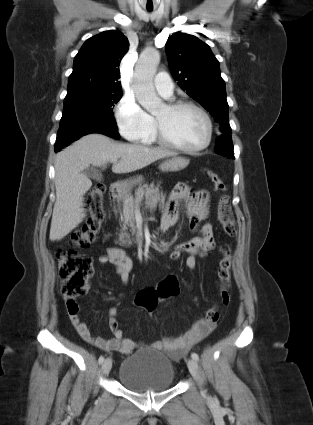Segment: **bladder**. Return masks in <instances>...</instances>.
Here are the masks:
<instances>
[{
    "label": "bladder",
    "mask_w": 313,
    "mask_h": 425,
    "mask_svg": "<svg viewBox=\"0 0 313 425\" xmlns=\"http://www.w3.org/2000/svg\"><path fill=\"white\" fill-rule=\"evenodd\" d=\"M118 380L132 392L164 391L173 386L175 369L162 351L144 348L123 360Z\"/></svg>",
    "instance_id": "obj_1"
}]
</instances>
